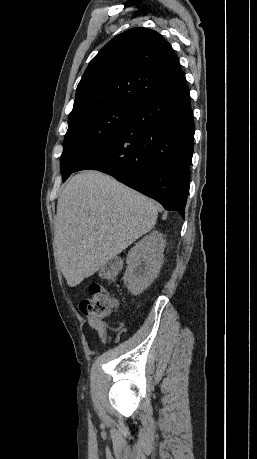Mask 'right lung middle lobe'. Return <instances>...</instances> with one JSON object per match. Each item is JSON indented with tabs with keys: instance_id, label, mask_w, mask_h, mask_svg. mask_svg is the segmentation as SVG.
I'll return each mask as SVG.
<instances>
[{
	"instance_id": "obj_1",
	"label": "right lung middle lobe",
	"mask_w": 257,
	"mask_h": 459,
	"mask_svg": "<svg viewBox=\"0 0 257 459\" xmlns=\"http://www.w3.org/2000/svg\"><path fill=\"white\" fill-rule=\"evenodd\" d=\"M134 112V107L110 106L68 122L60 162L63 181L122 132L130 123Z\"/></svg>"
}]
</instances>
